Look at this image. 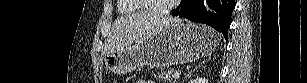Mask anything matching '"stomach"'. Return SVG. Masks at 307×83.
Here are the masks:
<instances>
[{"label":"stomach","mask_w":307,"mask_h":83,"mask_svg":"<svg viewBox=\"0 0 307 83\" xmlns=\"http://www.w3.org/2000/svg\"><path fill=\"white\" fill-rule=\"evenodd\" d=\"M219 41V35L206 26L180 22L165 26L132 46L106 53L104 62L117 75L143 66L165 68L206 56Z\"/></svg>","instance_id":"stomach-1"}]
</instances>
